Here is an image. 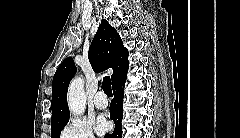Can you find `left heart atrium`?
I'll use <instances>...</instances> for the list:
<instances>
[{"instance_id":"39dd6f15","label":"left heart atrium","mask_w":240,"mask_h":138,"mask_svg":"<svg viewBox=\"0 0 240 138\" xmlns=\"http://www.w3.org/2000/svg\"><path fill=\"white\" fill-rule=\"evenodd\" d=\"M108 129V122L104 118H100L97 122V131L103 133Z\"/></svg>"}]
</instances>
